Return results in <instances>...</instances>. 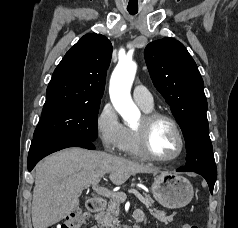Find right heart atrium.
Instances as JSON below:
<instances>
[{"label":"right heart atrium","mask_w":238,"mask_h":228,"mask_svg":"<svg viewBox=\"0 0 238 228\" xmlns=\"http://www.w3.org/2000/svg\"><path fill=\"white\" fill-rule=\"evenodd\" d=\"M96 129L103 148L108 152H118L126 137V127L111 103H105L96 119Z\"/></svg>","instance_id":"obj_1"}]
</instances>
